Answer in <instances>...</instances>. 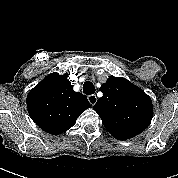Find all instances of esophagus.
<instances>
[{"label": "esophagus", "instance_id": "34e87169", "mask_svg": "<svg viewBox=\"0 0 178 178\" xmlns=\"http://www.w3.org/2000/svg\"><path fill=\"white\" fill-rule=\"evenodd\" d=\"M87 99H88V101H89V103L93 106V105H95L96 104V102H97V97H96V95H89L88 97H87Z\"/></svg>", "mask_w": 178, "mask_h": 178}]
</instances>
